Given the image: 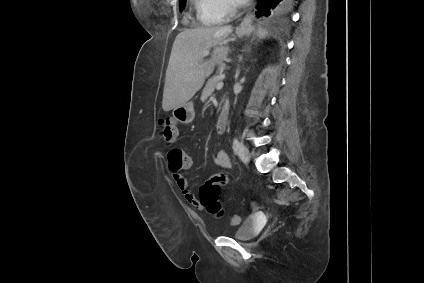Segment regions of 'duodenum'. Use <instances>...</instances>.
Returning <instances> with one entry per match:
<instances>
[{"label":"duodenum","mask_w":424,"mask_h":283,"mask_svg":"<svg viewBox=\"0 0 424 283\" xmlns=\"http://www.w3.org/2000/svg\"><path fill=\"white\" fill-rule=\"evenodd\" d=\"M228 111L229 105L225 102L222 106L221 112L219 114L216 129L219 133H224L228 124Z\"/></svg>","instance_id":"410a0bca"}]
</instances>
